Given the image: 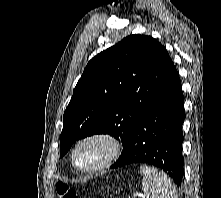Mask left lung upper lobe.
Here are the masks:
<instances>
[{
	"label": "left lung upper lobe",
	"instance_id": "5c2ea615",
	"mask_svg": "<svg viewBox=\"0 0 221 198\" xmlns=\"http://www.w3.org/2000/svg\"><path fill=\"white\" fill-rule=\"evenodd\" d=\"M173 66L156 39L139 34L92 58L64 112L60 156L76 140L93 134L121 138L124 147Z\"/></svg>",
	"mask_w": 221,
	"mask_h": 198
}]
</instances>
